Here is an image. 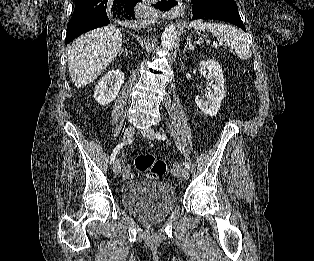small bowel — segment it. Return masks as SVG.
<instances>
[{
    "instance_id": "1",
    "label": "small bowel",
    "mask_w": 314,
    "mask_h": 261,
    "mask_svg": "<svg viewBox=\"0 0 314 261\" xmlns=\"http://www.w3.org/2000/svg\"><path fill=\"white\" fill-rule=\"evenodd\" d=\"M125 173H128V169L127 168L125 169Z\"/></svg>"
}]
</instances>
